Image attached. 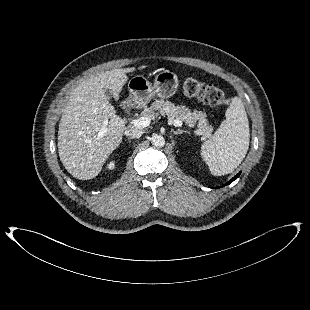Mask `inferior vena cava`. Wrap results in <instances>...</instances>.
Here are the masks:
<instances>
[{
  "label": "inferior vena cava",
  "instance_id": "inferior-vena-cava-1",
  "mask_svg": "<svg viewBox=\"0 0 310 310\" xmlns=\"http://www.w3.org/2000/svg\"><path fill=\"white\" fill-rule=\"evenodd\" d=\"M124 134L130 138H140L143 132L137 129L129 128L125 130Z\"/></svg>",
  "mask_w": 310,
  "mask_h": 310
}]
</instances>
